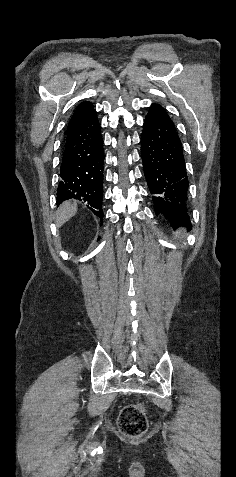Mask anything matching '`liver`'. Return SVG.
<instances>
[{
  "label": "liver",
  "instance_id": "6515ba94",
  "mask_svg": "<svg viewBox=\"0 0 236 477\" xmlns=\"http://www.w3.org/2000/svg\"><path fill=\"white\" fill-rule=\"evenodd\" d=\"M77 212V204L70 201H66L60 205L56 213V224L61 227L70 218H72Z\"/></svg>",
  "mask_w": 236,
  "mask_h": 477
}]
</instances>
